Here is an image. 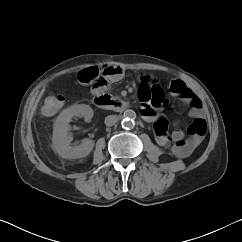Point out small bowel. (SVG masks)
I'll return each mask as SVG.
<instances>
[{
    "label": "small bowel",
    "mask_w": 242,
    "mask_h": 242,
    "mask_svg": "<svg viewBox=\"0 0 242 242\" xmlns=\"http://www.w3.org/2000/svg\"><path fill=\"white\" fill-rule=\"evenodd\" d=\"M103 74L107 77V81L99 86H94L93 91L95 92H105L108 90L109 86L122 79V77L125 74V70L121 66L117 65H108L105 66L103 69ZM144 78H150L148 76L142 77L141 81ZM153 80V79H152ZM174 82H179L183 86V90L186 93H189L191 96L196 97L191 89L187 86L185 82L179 79H173L170 82V90L171 86ZM172 92V90H171ZM174 95L179 96L172 92ZM181 97V96H179ZM187 104L191 106L189 115L192 118V124L190 125L188 132L193 129V125L197 122H201L206 126L207 124L206 120L203 114V105L201 101L197 98V102L195 104L191 103V98L184 95L181 97ZM139 100L141 102V114L142 116L149 122L153 123L155 126V134H156V140L160 145H167L170 142L174 143L173 146V152L180 157H186L190 155L194 149H196L199 144L202 142L204 135H201L198 132H189V137H185L184 132L179 129L176 125L174 126L173 130L169 131L167 129V119L164 115L159 113L155 106L152 104L151 101L145 100L141 98L139 94ZM163 103V102H162ZM161 103V104H162ZM160 104V105H161ZM52 115V114H49Z\"/></svg>",
    "instance_id": "1"
}]
</instances>
